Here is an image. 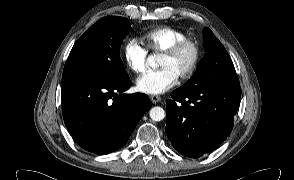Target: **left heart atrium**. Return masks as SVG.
Here are the masks:
<instances>
[{"mask_svg":"<svg viewBox=\"0 0 294 180\" xmlns=\"http://www.w3.org/2000/svg\"><path fill=\"white\" fill-rule=\"evenodd\" d=\"M178 81V76L169 68L148 71L136 81V88L144 94L160 95L167 92Z\"/></svg>","mask_w":294,"mask_h":180,"instance_id":"1","label":"left heart atrium"}]
</instances>
